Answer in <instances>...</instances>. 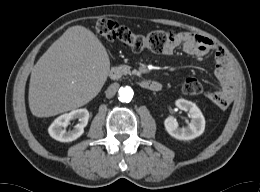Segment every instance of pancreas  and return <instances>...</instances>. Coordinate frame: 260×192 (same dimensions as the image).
Returning <instances> with one entry per match:
<instances>
[{
    "mask_svg": "<svg viewBox=\"0 0 260 192\" xmlns=\"http://www.w3.org/2000/svg\"><path fill=\"white\" fill-rule=\"evenodd\" d=\"M120 69L122 70L123 74H130V75H140V72L137 70L131 71V67L128 65H121Z\"/></svg>",
    "mask_w": 260,
    "mask_h": 192,
    "instance_id": "obj_1",
    "label": "pancreas"
}]
</instances>
